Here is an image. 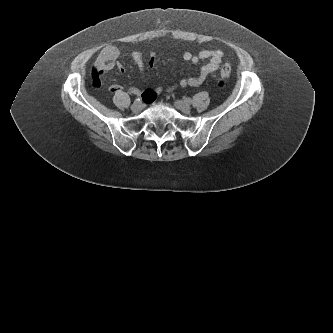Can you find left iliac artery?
<instances>
[{"instance_id":"1","label":"left iliac artery","mask_w":333,"mask_h":333,"mask_svg":"<svg viewBox=\"0 0 333 333\" xmlns=\"http://www.w3.org/2000/svg\"><path fill=\"white\" fill-rule=\"evenodd\" d=\"M186 101L190 104L192 103V100L190 98H187Z\"/></svg>"}]
</instances>
